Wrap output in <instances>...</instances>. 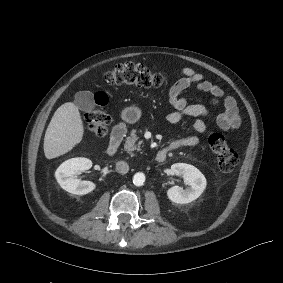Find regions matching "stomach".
<instances>
[{
	"label": "stomach",
	"mask_w": 283,
	"mask_h": 283,
	"mask_svg": "<svg viewBox=\"0 0 283 283\" xmlns=\"http://www.w3.org/2000/svg\"><path fill=\"white\" fill-rule=\"evenodd\" d=\"M121 117L127 123L133 124L140 119L141 111L137 107H128L123 110Z\"/></svg>",
	"instance_id": "stomach-1"
}]
</instances>
